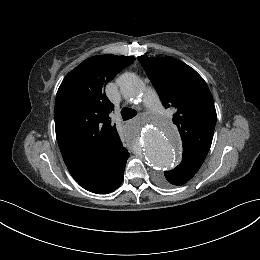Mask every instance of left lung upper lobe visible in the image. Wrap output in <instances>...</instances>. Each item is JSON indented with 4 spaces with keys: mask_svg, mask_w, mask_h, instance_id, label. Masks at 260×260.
Returning a JSON list of instances; mask_svg holds the SVG:
<instances>
[{
    "mask_svg": "<svg viewBox=\"0 0 260 260\" xmlns=\"http://www.w3.org/2000/svg\"><path fill=\"white\" fill-rule=\"evenodd\" d=\"M165 108L176 109L183 156L180 165L200 168L211 147L216 110L212 94L203 78L190 66L173 57H138ZM160 183L170 187L165 175Z\"/></svg>",
    "mask_w": 260,
    "mask_h": 260,
    "instance_id": "1",
    "label": "left lung upper lobe"
}]
</instances>
